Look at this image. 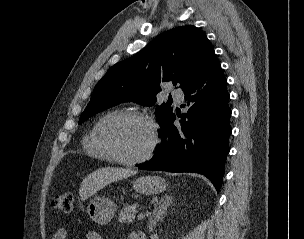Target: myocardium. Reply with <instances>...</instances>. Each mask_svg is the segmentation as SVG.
<instances>
[{
	"instance_id": "1",
	"label": "myocardium",
	"mask_w": 304,
	"mask_h": 239,
	"mask_svg": "<svg viewBox=\"0 0 304 239\" xmlns=\"http://www.w3.org/2000/svg\"><path fill=\"white\" fill-rule=\"evenodd\" d=\"M126 120H138L141 122L146 123L150 129L152 134V139L150 142L149 147L147 150L140 156L135 158H125L120 156L116 149L113 147L110 138H109V132L110 130L117 124L126 121ZM98 140L102 148L107 152V154L110 156L111 160L122 165H136L140 164L142 162L147 161L151 156L153 155L157 144L159 142V136L158 131L155 126V124L152 122V120L146 116L143 113L136 112V111H121L112 117H110L108 120L104 122V124L101 126L99 133H98Z\"/></svg>"
}]
</instances>
